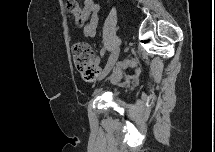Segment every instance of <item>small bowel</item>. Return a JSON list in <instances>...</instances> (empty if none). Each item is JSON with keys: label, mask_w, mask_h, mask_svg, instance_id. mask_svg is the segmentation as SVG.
Masks as SVG:
<instances>
[{"label": "small bowel", "mask_w": 215, "mask_h": 152, "mask_svg": "<svg viewBox=\"0 0 215 152\" xmlns=\"http://www.w3.org/2000/svg\"><path fill=\"white\" fill-rule=\"evenodd\" d=\"M99 5L97 2L93 0H86L84 3L83 11L86 12L89 15V22L86 24L83 28V35L86 38H92L96 34V29L99 22ZM123 78L122 69L118 67L115 70V73L113 76H111V79L113 81H119ZM92 81V80H89ZM125 82L130 87H135L137 85V79L134 78L131 75L125 76Z\"/></svg>", "instance_id": "c3829d8e"}]
</instances>
